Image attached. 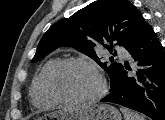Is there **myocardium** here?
Segmentation results:
<instances>
[{"label": "myocardium", "instance_id": "myocardium-1", "mask_svg": "<svg viewBox=\"0 0 165 120\" xmlns=\"http://www.w3.org/2000/svg\"><path fill=\"white\" fill-rule=\"evenodd\" d=\"M68 65H82V66H85V67L89 68L90 70H92L95 73V75L97 76L99 83H100L98 91L91 96L83 97V98H76V99H71V98H66V97L61 96L55 90V88L53 86V80H54L55 75L58 73V71ZM45 88H46L48 94L50 95V97L53 98L56 102L67 103V104H89V103H94V102L100 100L104 96V94L106 92L107 84H106V80L103 77L102 73L100 72V70L97 68V66L94 63H92L84 58L70 57V58L58 60L51 67V69L48 71L46 78H45Z\"/></svg>", "mask_w": 165, "mask_h": 120}]
</instances>
